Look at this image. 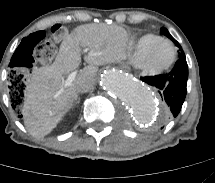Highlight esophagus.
<instances>
[{
    "mask_svg": "<svg viewBox=\"0 0 215 183\" xmlns=\"http://www.w3.org/2000/svg\"><path fill=\"white\" fill-rule=\"evenodd\" d=\"M122 66L127 67V64L126 63H122Z\"/></svg>",
    "mask_w": 215,
    "mask_h": 183,
    "instance_id": "obj_1",
    "label": "esophagus"
}]
</instances>
